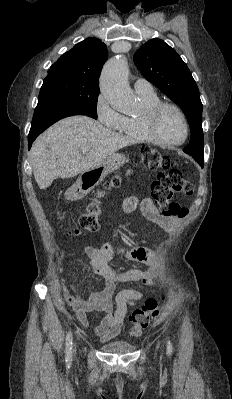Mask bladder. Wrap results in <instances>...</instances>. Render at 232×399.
<instances>
[{
  "label": "bladder",
  "instance_id": "bladder-1",
  "mask_svg": "<svg viewBox=\"0 0 232 399\" xmlns=\"http://www.w3.org/2000/svg\"><path fill=\"white\" fill-rule=\"evenodd\" d=\"M101 350L106 353H129L133 350V347L121 341H112L101 346Z\"/></svg>",
  "mask_w": 232,
  "mask_h": 399
}]
</instances>
